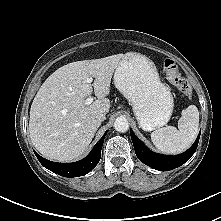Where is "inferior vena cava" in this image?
Listing matches in <instances>:
<instances>
[{
    "label": "inferior vena cava",
    "instance_id": "obj_1",
    "mask_svg": "<svg viewBox=\"0 0 221 221\" xmlns=\"http://www.w3.org/2000/svg\"><path fill=\"white\" fill-rule=\"evenodd\" d=\"M105 119H106L105 114H99L96 116V121H98L99 123H101Z\"/></svg>",
    "mask_w": 221,
    "mask_h": 221
}]
</instances>
